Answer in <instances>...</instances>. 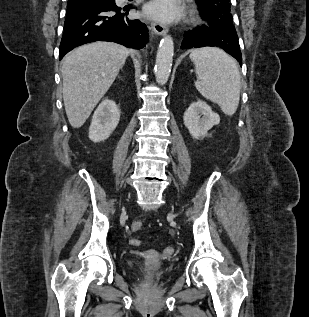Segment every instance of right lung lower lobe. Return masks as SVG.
<instances>
[{
    "label": "right lung lower lobe",
    "mask_w": 309,
    "mask_h": 317,
    "mask_svg": "<svg viewBox=\"0 0 309 317\" xmlns=\"http://www.w3.org/2000/svg\"><path fill=\"white\" fill-rule=\"evenodd\" d=\"M130 8L92 0H68L60 59L75 47L97 40L143 48L148 41V29L140 20L127 17Z\"/></svg>",
    "instance_id": "98d812e1"
}]
</instances>
